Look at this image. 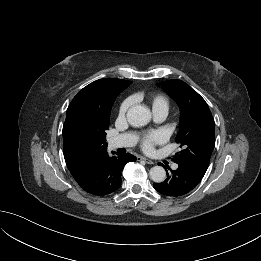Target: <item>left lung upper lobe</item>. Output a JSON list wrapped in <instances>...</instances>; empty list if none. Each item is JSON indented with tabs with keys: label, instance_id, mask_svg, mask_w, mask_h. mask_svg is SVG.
Instances as JSON below:
<instances>
[{
	"label": "left lung upper lobe",
	"instance_id": "obj_1",
	"mask_svg": "<svg viewBox=\"0 0 261 261\" xmlns=\"http://www.w3.org/2000/svg\"><path fill=\"white\" fill-rule=\"evenodd\" d=\"M161 85L181 110L176 142L183 149L175 154L174 162L202 179L215 146L214 119L210 109L205 100L181 80H168Z\"/></svg>",
	"mask_w": 261,
	"mask_h": 261
}]
</instances>
